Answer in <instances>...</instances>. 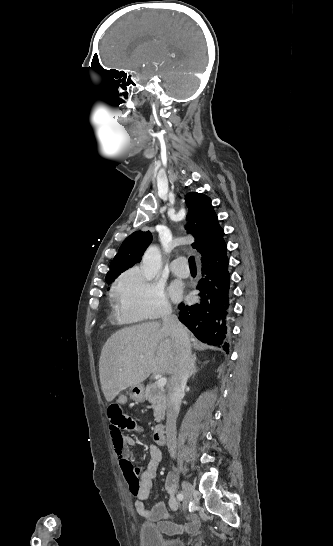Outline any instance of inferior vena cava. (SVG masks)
<instances>
[{"instance_id": "602c4592", "label": "inferior vena cava", "mask_w": 333, "mask_h": 546, "mask_svg": "<svg viewBox=\"0 0 333 546\" xmlns=\"http://www.w3.org/2000/svg\"><path fill=\"white\" fill-rule=\"evenodd\" d=\"M163 331L174 340L177 353L176 367L168 384L167 394V447L172 457L176 455V421L180 411L184 389L192 367V355L189 335L170 307L162 314Z\"/></svg>"}]
</instances>
